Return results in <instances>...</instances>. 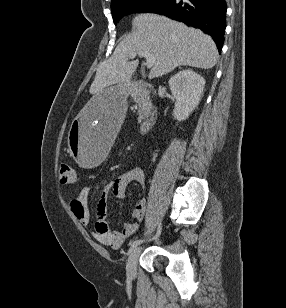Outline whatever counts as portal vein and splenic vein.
Wrapping results in <instances>:
<instances>
[{
  "label": "portal vein and splenic vein",
  "instance_id": "obj_1",
  "mask_svg": "<svg viewBox=\"0 0 286 308\" xmlns=\"http://www.w3.org/2000/svg\"><path fill=\"white\" fill-rule=\"evenodd\" d=\"M136 55H139V56L144 57L146 59L147 68H151L155 64L156 56L152 53H148V52H145V51H139V52L130 53L128 57L130 59H134L136 57Z\"/></svg>",
  "mask_w": 286,
  "mask_h": 308
}]
</instances>
